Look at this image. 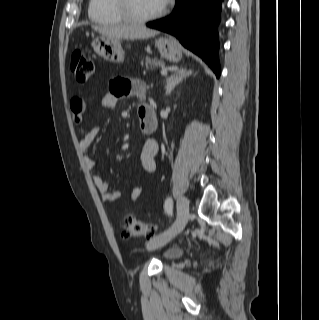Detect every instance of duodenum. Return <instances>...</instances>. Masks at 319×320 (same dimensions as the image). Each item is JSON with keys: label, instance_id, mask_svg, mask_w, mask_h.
<instances>
[{"label": "duodenum", "instance_id": "1", "mask_svg": "<svg viewBox=\"0 0 319 320\" xmlns=\"http://www.w3.org/2000/svg\"><path fill=\"white\" fill-rule=\"evenodd\" d=\"M139 120H140V127L144 132L150 133L157 129V114L156 110L148 105L143 107L138 112Z\"/></svg>", "mask_w": 319, "mask_h": 320}]
</instances>
